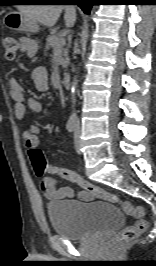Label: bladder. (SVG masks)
Here are the masks:
<instances>
[{
  "instance_id": "31cf9c89",
  "label": "bladder",
  "mask_w": 156,
  "mask_h": 266,
  "mask_svg": "<svg viewBox=\"0 0 156 266\" xmlns=\"http://www.w3.org/2000/svg\"><path fill=\"white\" fill-rule=\"evenodd\" d=\"M54 232L69 240H80L106 232L123 221L121 210L112 203L59 200L47 206Z\"/></svg>"
}]
</instances>
